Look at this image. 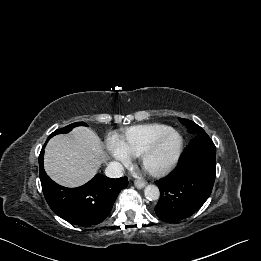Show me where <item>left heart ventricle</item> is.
Instances as JSON below:
<instances>
[{"mask_svg":"<svg viewBox=\"0 0 261 261\" xmlns=\"http://www.w3.org/2000/svg\"><path fill=\"white\" fill-rule=\"evenodd\" d=\"M176 141L177 140L174 135L167 136L148 159L147 166L149 168H158L162 166L172 154Z\"/></svg>","mask_w":261,"mask_h":261,"instance_id":"1","label":"left heart ventricle"}]
</instances>
